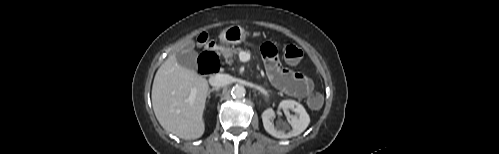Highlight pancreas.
Returning <instances> with one entry per match:
<instances>
[{
    "label": "pancreas",
    "mask_w": 499,
    "mask_h": 154,
    "mask_svg": "<svg viewBox=\"0 0 499 154\" xmlns=\"http://www.w3.org/2000/svg\"><path fill=\"white\" fill-rule=\"evenodd\" d=\"M242 51L241 48H229V47H222L221 52L223 56L227 59V63L231 64L233 62V56L240 53Z\"/></svg>",
    "instance_id": "obj_1"
}]
</instances>
